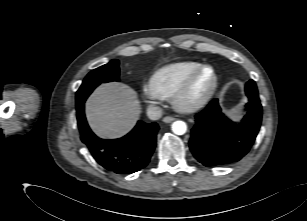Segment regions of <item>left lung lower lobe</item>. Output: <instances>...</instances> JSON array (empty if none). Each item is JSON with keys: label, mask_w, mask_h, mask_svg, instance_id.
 Segmentation results:
<instances>
[{"label": "left lung lower lobe", "mask_w": 307, "mask_h": 221, "mask_svg": "<svg viewBox=\"0 0 307 221\" xmlns=\"http://www.w3.org/2000/svg\"><path fill=\"white\" fill-rule=\"evenodd\" d=\"M249 111L241 123L226 118L214 99L195 118L189 141L194 157L206 167L239 161L250 150L259 132L262 106L257 89L246 90Z\"/></svg>", "instance_id": "1"}]
</instances>
